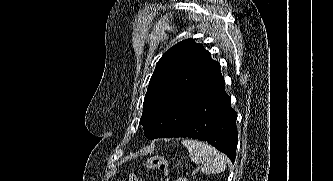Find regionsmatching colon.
Here are the masks:
<instances>
[{
	"instance_id": "1",
	"label": "colon",
	"mask_w": 333,
	"mask_h": 181,
	"mask_svg": "<svg viewBox=\"0 0 333 181\" xmlns=\"http://www.w3.org/2000/svg\"><path fill=\"white\" fill-rule=\"evenodd\" d=\"M143 167L147 170L166 173L169 169V160L167 157L161 155L151 156L144 161ZM127 181H139L137 174L130 173Z\"/></svg>"
}]
</instances>
